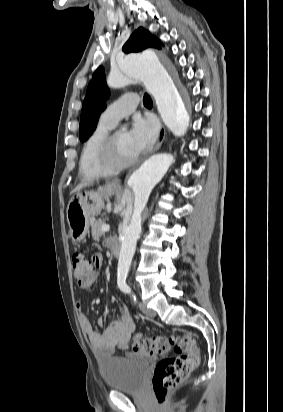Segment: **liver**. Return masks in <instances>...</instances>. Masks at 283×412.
Returning a JSON list of instances; mask_svg holds the SVG:
<instances>
[{
    "mask_svg": "<svg viewBox=\"0 0 283 412\" xmlns=\"http://www.w3.org/2000/svg\"><path fill=\"white\" fill-rule=\"evenodd\" d=\"M85 185H86V183H82V184L78 185V186L73 190V192L79 191V190L82 189Z\"/></svg>",
    "mask_w": 283,
    "mask_h": 412,
    "instance_id": "liver-1",
    "label": "liver"
}]
</instances>
